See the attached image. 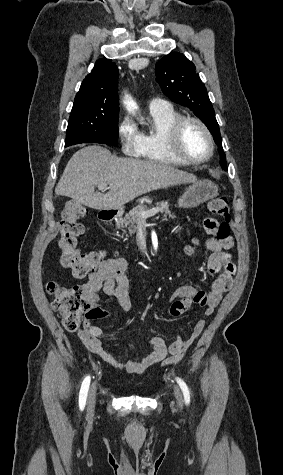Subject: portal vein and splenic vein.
I'll return each mask as SVG.
<instances>
[{"label":"portal vein and splenic vein","mask_w":283,"mask_h":475,"mask_svg":"<svg viewBox=\"0 0 283 475\" xmlns=\"http://www.w3.org/2000/svg\"><path fill=\"white\" fill-rule=\"evenodd\" d=\"M103 188L107 190V184H104ZM155 214H157V210H148V212H143L142 216L149 218V216H155Z\"/></svg>","instance_id":"1"}]
</instances>
